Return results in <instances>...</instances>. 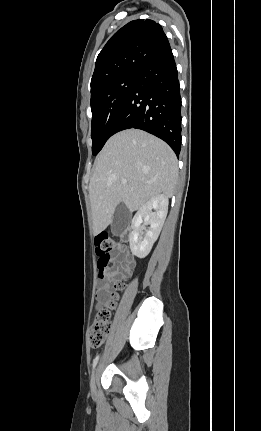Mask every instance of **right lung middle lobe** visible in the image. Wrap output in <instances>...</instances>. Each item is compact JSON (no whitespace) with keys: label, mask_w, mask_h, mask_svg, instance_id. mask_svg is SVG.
<instances>
[{"label":"right lung middle lobe","mask_w":261,"mask_h":431,"mask_svg":"<svg viewBox=\"0 0 261 431\" xmlns=\"http://www.w3.org/2000/svg\"><path fill=\"white\" fill-rule=\"evenodd\" d=\"M138 73L117 77L91 91L92 154L95 156L113 135V127L133 88Z\"/></svg>","instance_id":"right-lung-middle-lobe-1"}]
</instances>
